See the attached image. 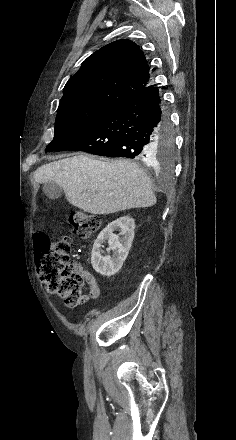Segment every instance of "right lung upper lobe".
<instances>
[{"instance_id":"1","label":"right lung upper lobe","mask_w":236,"mask_h":440,"mask_svg":"<svg viewBox=\"0 0 236 440\" xmlns=\"http://www.w3.org/2000/svg\"><path fill=\"white\" fill-rule=\"evenodd\" d=\"M145 55L131 40L114 41L89 56L65 85L60 104L91 101L118 106L152 86Z\"/></svg>"}]
</instances>
